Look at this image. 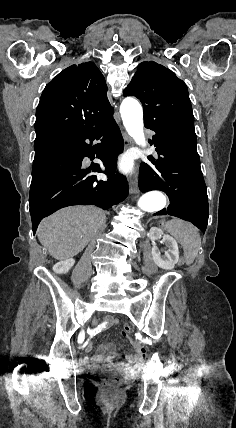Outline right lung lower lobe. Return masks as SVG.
I'll use <instances>...</instances> for the list:
<instances>
[{"label":"right lung lower lobe","mask_w":236,"mask_h":428,"mask_svg":"<svg viewBox=\"0 0 236 428\" xmlns=\"http://www.w3.org/2000/svg\"><path fill=\"white\" fill-rule=\"evenodd\" d=\"M93 141L99 143L91 145ZM46 142L48 146L35 153L32 167L29 203L34 234L40 221L60 208L96 205L106 210L127 197V180L115 170L124 142L113 116L95 127ZM85 156L99 158L105 171L98 164L82 166ZM90 172H103L109 179L98 181Z\"/></svg>","instance_id":"right-lung-lower-lobe-1"}]
</instances>
